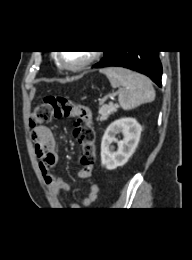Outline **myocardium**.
<instances>
[{"label":"myocardium","instance_id":"1","mask_svg":"<svg viewBox=\"0 0 192 260\" xmlns=\"http://www.w3.org/2000/svg\"><path fill=\"white\" fill-rule=\"evenodd\" d=\"M98 57V53L95 51L90 52L89 57L84 60L83 62L77 64V65H69L68 63H66L63 59V55L62 52H58L57 54V59L59 64L69 70V71H73V72H77V71H81L83 69H85L87 66H89L90 64H92Z\"/></svg>","mask_w":192,"mask_h":260}]
</instances>
